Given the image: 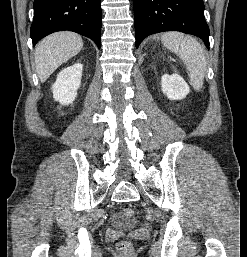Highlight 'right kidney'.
<instances>
[{"label": "right kidney", "instance_id": "obj_1", "mask_svg": "<svg viewBox=\"0 0 247 257\" xmlns=\"http://www.w3.org/2000/svg\"><path fill=\"white\" fill-rule=\"evenodd\" d=\"M83 65L75 63L64 68L58 75L56 82L52 85L53 98L61 105L72 103L77 97V90L81 85Z\"/></svg>", "mask_w": 247, "mask_h": 257}]
</instances>
